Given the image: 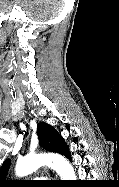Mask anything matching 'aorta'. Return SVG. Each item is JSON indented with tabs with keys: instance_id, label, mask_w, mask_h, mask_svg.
Here are the masks:
<instances>
[{
	"instance_id": "1",
	"label": "aorta",
	"mask_w": 119,
	"mask_h": 187,
	"mask_svg": "<svg viewBox=\"0 0 119 187\" xmlns=\"http://www.w3.org/2000/svg\"><path fill=\"white\" fill-rule=\"evenodd\" d=\"M49 165L60 176L61 180H76V174L72 165L66 158L59 154H35L25 156L17 161L15 172L23 177L36 171L43 165Z\"/></svg>"
}]
</instances>
